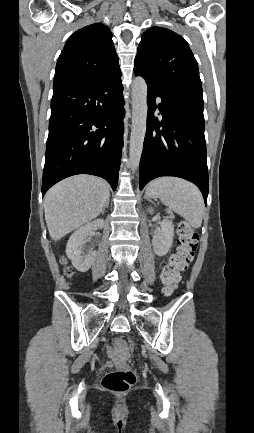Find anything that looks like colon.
Segmentation results:
<instances>
[{
    "instance_id": "colon-1",
    "label": "colon",
    "mask_w": 254,
    "mask_h": 433,
    "mask_svg": "<svg viewBox=\"0 0 254 433\" xmlns=\"http://www.w3.org/2000/svg\"><path fill=\"white\" fill-rule=\"evenodd\" d=\"M179 242L175 253L170 256L169 262L161 270V280L168 287V294H172L178 281L179 272L183 270L192 260L198 247V234L187 223L180 222L178 225ZM66 274L71 275L72 270L66 269ZM117 349L120 354L126 351V344L122 339L116 340ZM135 373L128 368H118L109 371L102 379L104 389L115 394H124L134 385Z\"/></svg>"
}]
</instances>
